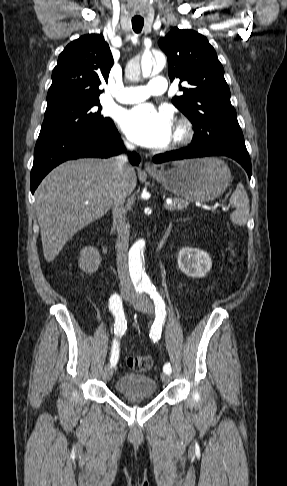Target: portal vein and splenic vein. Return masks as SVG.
<instances>
[{
  "instance_id": "18ae733b",
  "label": "portal vein and splenic vein",
  "mask_w": 287,
  "mask_h": 486,
  "mask_svg": "<svg viewBox=\"0 0 287 486\" xmlns=\"http://www.w3.org/2000/svg\"><path fill=\"white\" fill-rule=\"evenodd\" d=\"M172 205H173V202L170 199H167L166 202H165V204H164L165 208L170 207Z\"/></svg>"
}]
</instances>
